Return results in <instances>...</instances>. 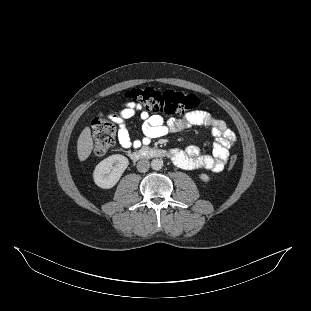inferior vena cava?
Wrapping results in <instances>:
<instances>
[{"mask_svg": "<svg viewBox=\"0 0 311 311\" xmlns=\"http://www.w3.org/2000/svg\"><path fill=\"white\" fill-rule=\"evenodd\" d=\"M136 167H137V170H138L139 172L144 173V172H146V171L149 170V168H150V162H149L147 159H142V160L138 161Z\"/></svg>", "mask_w": 311, "mask_h": 311, "instance_id": "inferior-vena-cava-1", "label": "inferior vena cava"}]
</instances>
